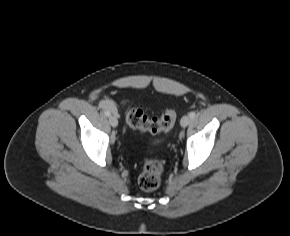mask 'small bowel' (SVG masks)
Listing matches in <instances>:
<instances>
[{
    "instance_id": "small-bowel-1",
    "label": "small bowel",
    "mask_w": 290,
    "mask_h": 236,
    "mask_svg": "<svg viewBox=\"0 0 290 236\" xmlns=\"http://www.w3.org/2000/svg\"><path fill=\"white\" fill-rule=\"evenodd\" d=\"M100 105L104 109H107L112 112H116V108L110 100H103Z\"/></svg>"
}]
</instances>
